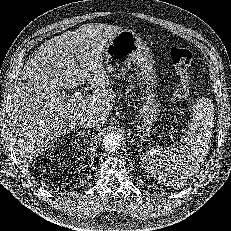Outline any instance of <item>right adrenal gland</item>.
Returning a JSON list of instances; mask_svg holds the SVG:
<instances>
[{"mask_svg":"<svg viewBox=\"0 0 231 231\" xmlns=\"http://www.w3.org/2000/svg\"><path fill=\"white\" fill-rule=\"evenodd\" d=\"M74 133H75V130H74ZM89 133V130H80V131H77L76 132V135H75V137L76 136H82V137H84L86 134H88Z\"/></svg>","mask_w":231,"mask_h":231,"instance_id":"right-adrenal-gland-1","label":"right adrenal gland"}]
</instances>
